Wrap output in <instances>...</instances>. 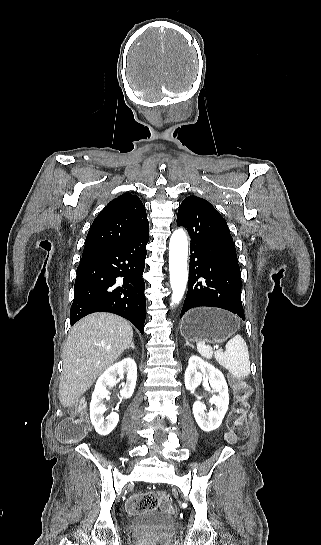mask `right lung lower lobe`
<instances>
[{
	"mask_svg": "<svg viewBox=\"0 0 321 545\" xmlns=\"http://www.w3.org/2000/svg\"><path fill=\"white\" fill-rule=\"evenodd\" d=\"M148 241L149 230L123 244L82 255L70 309L71 325L93 312H111L131 321L143 334L146 299L142 274Z\"/></svg>",
	"mask_w": 321,
	"mask_h": 545,
	"instance_id": "obj_1",
	"label": "right lung lower lobe"
}]
</instances>
